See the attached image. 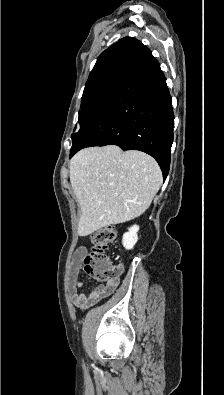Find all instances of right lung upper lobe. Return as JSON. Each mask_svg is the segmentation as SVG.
Returning <instances> with one entry per match:
<instances>
[{"mask_svg":"<svg viewBox=\"0 0 224 395\" xmlns=\"http://www.w3.org/2000/svg\"><path fill=\"white\" fill-rule=\"evenodd\" d=\"M141 45L142 43L139 40L132 37H124L114 43L100 54L87 82L106 73L121 70Z\"/></svg>","mask_w":224,"mask_h":395,"instance_id":"right-lung-upper-lobe-1","label":"right lung upper lobe"}]
</instances>
